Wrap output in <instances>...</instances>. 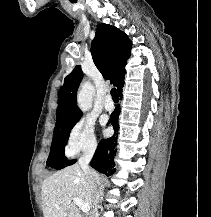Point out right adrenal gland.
I'll list each match as a JSON object with an SVG mask.
<instances>
[{
	"instance_id": "1",
	"label": "right adrenal gland",
	"mask_w": 211,
	"mask_h": 217,
	"mask_svg": "<svg viewBox=\"0 0 211 217\" xmlns=\"http://www.w3.org/2000/svg\"><path fill=\"white\" fill-rule=\"evenodd\" d=\"M100 196H101V200H102L103 196H104L103 186L100 187Z\"/></svg>"
}]
</instances>
